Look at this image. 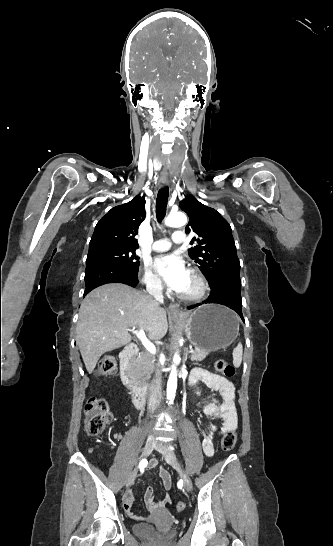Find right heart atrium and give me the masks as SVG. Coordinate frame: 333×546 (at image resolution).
I'll use <instances>...</instances> for the list:
<instances>
[{
	"label": "right heart atrium",
	"mask_w": 333,
	"mask_h": 546,
	"mask_svg": "<svg viewBox=\"0 0 333 546\" xmlns=\"http://www.w3.org/2000/svg\"><path fill=\"white\" fill-rule=\"evenodd\" d=\"M142 282L151 291H160L162 289V283L160 279L153 273L148 267H144L142 272Z\"/></svg>",
	"instance_id": "d8ad5b80"
}]
</instances>
